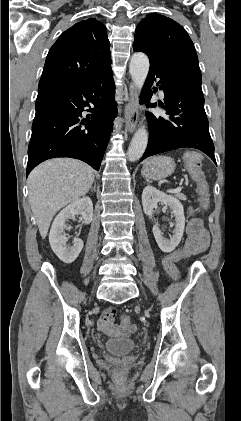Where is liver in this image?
Returning a JSON list of instances; mask_svg holds the SVG:
<instances>
[{
	"label": "liver",
	"instance_id": "1",
	"mask_svg": "<svg viewBox=\"0 0 241 421\" xmlns=\"http://www.w3.org/2000/svg\"><path fill=\"white\" fill-rule=\"evenodd\" d=\"M93 182L92 168L71 158L48 160L30 173L28 197L43 239L56 212L84 196Z\"/></svg>",
	"mask_w": 241,
	"mask_h": 421
}]
</instances>
